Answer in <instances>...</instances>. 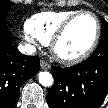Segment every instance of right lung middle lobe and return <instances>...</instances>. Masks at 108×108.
Returning <instances> with one entry per match:
<instances>
[{"label":"right lung middle lobe","mask_w":108,"mask_h":108,"mask_svg":"<svg viewBox=\"0 0 108 108\" xmlns=\"http://www.w3.org/2000/svg\"><path fill=\"white\" fill-rule=\"evenodd\" d=\"M13 3L9 0H0V19H3L4 16L9 12Z\"/></svg>","instance_id":"dd1d6c3e"}]
</instances>
